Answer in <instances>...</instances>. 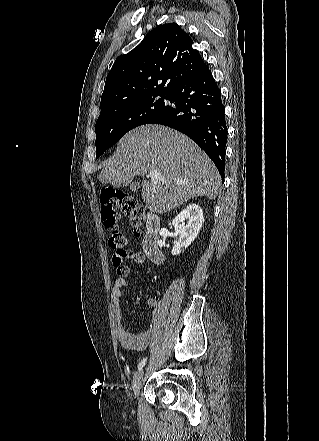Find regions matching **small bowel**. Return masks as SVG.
Returning a JSON list of instances; mask_svg holds the SVG:
<instances>
[{
    "label": "small bowel",
    "instance_id": "obj_1",
    "mask_svg": "<svg viewBox=\"0 0 319 441\" xmlns=\"http://www.w3.org/2000/svg\"><path fill=\"white\" fill-rule=\"evenodd\" d=\"M126 257L130 259L134 264H142L145 261V255L139 251H128ZM116 278L111 287L110 295L113 307V313L117 325L118 340L122 347L129 351H143L145 350L153 336L154 332V317L145 328L139 333H131L126 331L122 326V313L120 307V300L122 296V290L126 286V278L129 275V268L127 266L115 265ZM147 306L151 309H156L158 306V300L154 297L148 298L146 302Z\"/></svg>",
    "mask_w": 319,
    "mask_h": 441
}]
</instances>
